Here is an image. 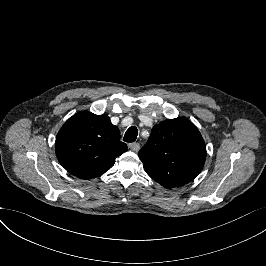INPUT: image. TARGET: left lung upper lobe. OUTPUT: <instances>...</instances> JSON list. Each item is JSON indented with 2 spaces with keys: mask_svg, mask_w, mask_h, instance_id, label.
Here are the masks:
<instances>
[{
  "mask_svg": "<svg viewBox=\"0 0 266 266\" xmlns=\"http://www.w3.org/2000/svg\"><path fill=\"white\" fill-rule=\"evenodd\" d=\"M146 173L166 188L182 186L202 170L206 145L199 130L185 117L155 125L139 151Z\"/></svg>",
  "mask_w": 266,
  "mask_h": 266,
  "instance_id": "obj_1",
  "label": "left lung upper lobe"
}]
</instances>
